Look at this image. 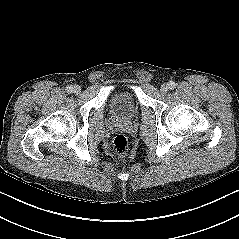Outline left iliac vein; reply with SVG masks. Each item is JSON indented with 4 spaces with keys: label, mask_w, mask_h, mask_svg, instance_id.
<instances>
[{
    "label": "left iliac vein",
    "mask_w": 239,
    "mask_h": 239,
    "mask_svg": "<svg viewBox=\"0 0 239 239\" xmlns=\"http://www.w3.org/2000/svg\"><path fill=\"white\" fill-rule=\"evenodd\" d=\"M168 89H169L168 85L167 84H163L161 86L160 90H161L162 93H166L168 91Z\"/></svg>",
    "instance_id": "4c4485c4"
}]
</instances>
